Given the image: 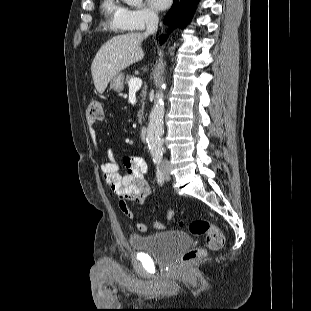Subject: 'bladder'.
Listing matches in <instances>:
<instances>
[{
  "mask_svg": "<svg viewBox=\"0 0 311 311\" xmlns=\"http://www.w3.org/2000/svg\"><path fill=\"white\" fill-rule=\"evenodd\" d=\"M132 248L138 252L152 254L161 262L171 261L178 252L191 244L183 231L168 230L150 234H134L130 237Z\"/></svg>",
  "mask_w": 311,
  "mask_h": 311,
  "instance_id": "1",
  "label": "bladder"
}]
</instances>
